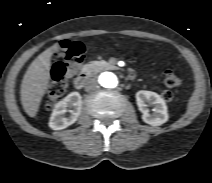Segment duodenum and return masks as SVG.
<instances>
[{"instance_id": "410a0bca", "label": "duodenum", "mask_w": 212, "mask_h": 183, "mask_svg": "<svg viewBox=\"0 0 212 183\" xmlns=\"http://www.w3.org/2000/svg\"><path fill=\"white\" fill-rule=\"evenodd\" d=\"M88 78H89V72H88V71L82 72L81 74H79V75L76 77V79H75V81H74V86H75L77 89H82V88L85 86V84H86Z\"/></svg>"}]
</instances>
